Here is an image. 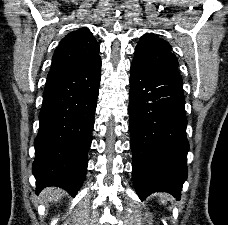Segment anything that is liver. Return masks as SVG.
Segmentation results:
<instances>
[{
  "label": "liver",
  "mask_w": 228,
  "mask_h": 225,
  "mask_svg": "<svg viewBox=\"0 0 228 225\" xmlns=\"http://www.w3.org/2000/svg\"><path fill=\"white\" fill-rule=\"evenodd\" d=\"M60 193L61 189H52V187H50V189H44L42 197L44 201H58V199L62 197Z\"/></svg>",
  "instance_id": "6515ba94"
}]
</instances>
